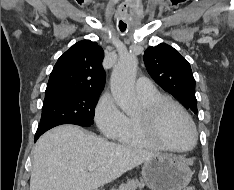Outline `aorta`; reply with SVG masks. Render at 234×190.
<instances>
[{"label":"aorta","mask_w":234,"mask_h":190,"mask_svg":"<svg viewBox=\"0 0 234 190\" xmlns=\"http://www.w3.org/2000/svg\"><path fill=\"white\" fill-rule=\"evenodd\" d=\"M137 59L132 54L119 58L111 75V92L117 105L126 113L131 114L136 108L134 80Z\"/></svg>","instance_id":"1"}]
</instances>
